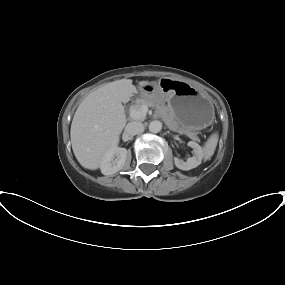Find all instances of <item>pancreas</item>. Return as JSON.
I'll use <instances>...</instances> for the list:
<instances>
[{
  "mask_svg": "<svg viewBox=\"0 0 285 285\" xmlns=\"http://www.w3.org/2000/svg\"><path fill=\"white\" fill-rule=\"evenodd\" d=\"M143 105H146L148 107H153V108H158L160 107L159 104L157 102H155L154 100L151 99H147V98H138L135 101V104L132 106L134 109L139 110ZM136 119V118H134ZM145 117H141L138 120H144ZM183 132L185 134H187L191 139L193 140H199L197 137V134L195 132H192L190 130H186V129H182Z\"/></svg>",
  "mask_w": 285,
  "mask_h": 285,
  "instance_id": "cf45deb5",
  "label": "pancreas"
}]
</instances>
